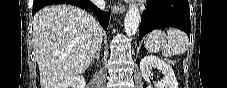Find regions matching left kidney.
<instances>
[{"mask_svg": "<svg viewBox=\"0 0 227 88\" xmlns=\"http://www.w3.org/2000/svg\"><path fill=\"white\" fill-rule=\"evenodd\" d=\"M153 68L159 69L164 75V78L156 83L154 88H178V82L172 67L154 55H147L140 61V70L144 80L149 83L148 88H153L150 83Z\"/></svg>", "mask_w": 227, "mask_h": 88, "instance_id": "5707ae66", "label": "left kidney"}]
</instances>
